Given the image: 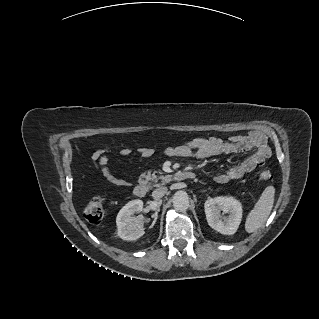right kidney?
I'll return each mask as SVG.
<instances>
[{
	"instance_id": "obj_1",
	"label": "right kidney",
	"mask_w": 319,
	"mask_h": 319,
	"mask_svg": "<svg viewBox=\"0 0 319 319\" xmlns=\"http://www.w3.org/2000/svg\"><path fill=\"white\" fill-rule=\"evenodd\" d=\"M143 209V201L136 199L129 201L119 211L116 217L117 234L118 236L127 241L137 240L144 235L143 217H134L135 212H140Z\"/></svg>"
}]
</instances>
